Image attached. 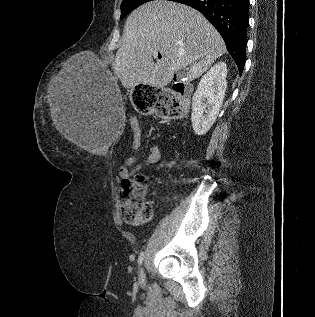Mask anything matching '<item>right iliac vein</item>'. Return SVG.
Returning a JSON list of instances; mask_svg holds the SVG:
<instances>
[{"instance_id":"obj_1","label":"right iliac vein","mask_w":315,"mask_h":317,"mask_svg":"<svg viewBox=\"0 0 315 317\" xmlns=\"http://www.w3.org/2000/svg\"><path fill=\"white\" fill-rule=\"evenodd\" d=\"M138 280H139L140 284L145 283L146 277H145V272H144L143 268H141V270L139 272Z\"/></svg>"}]
</instances>
